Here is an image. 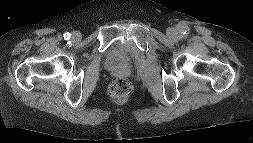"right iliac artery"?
Instances as JSON below:
<instances>
[{"label":"right iliac artery","mask_w":253,"mask_h":143,"mask_svg":"<svg viewBox=\"0 0 253 143\" xmlns=\"http://www.w3.org/2000/svg\"><path fill=\"white\" fill-rule=\"evenodd\" d=\"M70 36H71V34H70L69 32H67V33L64 34V39H65V40H66V39H69Z\"/></svg>","instance_id":"1"}]
</instances>
